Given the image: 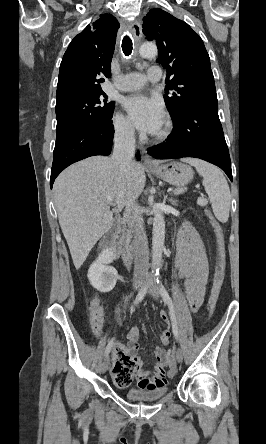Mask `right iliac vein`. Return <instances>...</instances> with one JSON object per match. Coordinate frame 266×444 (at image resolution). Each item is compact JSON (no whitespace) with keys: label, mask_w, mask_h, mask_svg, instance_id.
<instances>
[{"label":"right iliac vein","mask_w":266,"mask_h":444,"mask_svg":"<svg viewBox=\"0 0 266 444\" xmlns=\"http://www.w3.org/2000/svg\"><path fill=\"white\" fill-rule=\"evenodd\" d=\"M143 284H144V281H143L142 279H138V280L135 281V285H136V286H141V285H143ZM109 363H110V361H109V355L107 354V355L104 357V360H103V362H102V373H105V372L107 371V369H108V367H109Z\"/></svg>","instance_id":"1"}]
</instances>
